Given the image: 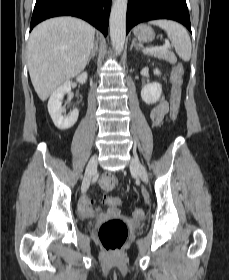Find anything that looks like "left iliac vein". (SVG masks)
<instances>
[{
	"label": "left iliac vein",
	"instance_id": "left-iliac-vein-1",
	"mask_svg": "<svg viewBox=\"0 0 229 280\" xmlns=\"http://www.w3.org/2000/svg\"><path fill=\"white\" fill-rule=\"evenodd\" d=\"M130 168H131V170L136 171L138 173V175L140 176V178L144 182L148 181L146 170H145L144 166L140 163L138 158L133 157L131 159V161H130Z\"/></svg>",
	"mask_w": 229,
	"mask_h": 280
}]
</instances>
